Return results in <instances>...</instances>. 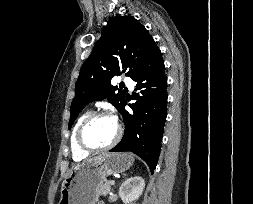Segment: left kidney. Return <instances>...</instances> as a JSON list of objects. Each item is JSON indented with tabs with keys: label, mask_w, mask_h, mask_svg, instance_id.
Segmentation results:
<instances>
[{
	"label": "left kidney",
	"mask_w": 253,
	"mask_h": 204,
	"mask_svg": "<svg viewBox=\"0 0 253 204\" xmlns=\"http://www.w3.org/2000/svg\"><path fill=\"white\" fill-rule=\"evenodd\" d=\"M145 187L144 179L140 176L130 177L119 188V196L125 204L137 200Z\"/></svg>",
	"instance_id": "5707ae66"
}]
</instances>
